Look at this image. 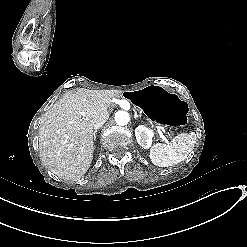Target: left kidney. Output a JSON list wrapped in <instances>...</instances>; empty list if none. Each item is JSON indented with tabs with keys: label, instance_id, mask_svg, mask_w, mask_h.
Returning <instances> with one entry per match:
<instances>
[{
	"label": "left kidney",
	"instance_id": "5707ae66",
	"mask_svg": "<svg viewBox=\"0 0 247 247\" xmlns=\"http://www.w3.org/2000/svg\"><path fill=\"white\" fill-rule=\"evenodd\" d=\"M137 143L144 149L150 147L153 133L146 127L139 126L135 131Z\"/></svg>",
	"mask_w": 247,
	"mask_h": 247
}]
</instances>
